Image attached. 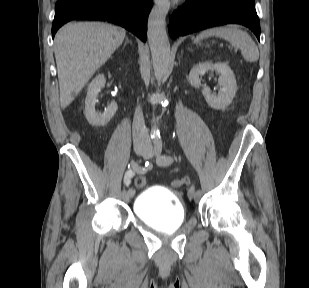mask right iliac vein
I'll list each match as a JSON object with an SVG mask.
<instances>
[{"instance_id": "63e3f726", "label": "right iliac vein", "mask_w": 309, "mask_h": 288, "mask_svg": "<svg viewBox=\"0 0 309 288\" xmlns=\"http://www.w3.org/2000/svg\"><path fill=\"white\" fill-rule=\"evenodd\" d=\"M135 152L138 154V155H142L143 157H145L147 154H148V151L144 148V147H141V146H136L135 147ZM134 196V193H126L124 194V198L126 200H129L130 198H132Z\"/></svg>"}]
</instances>
